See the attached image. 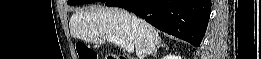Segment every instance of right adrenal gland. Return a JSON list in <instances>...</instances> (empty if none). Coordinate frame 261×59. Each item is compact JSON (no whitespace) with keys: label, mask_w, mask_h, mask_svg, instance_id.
I'll list each match as a JSON object with an SVG mask.
<instances>
[{"label":"right adrenal gland","mask_w":261,"mask_h":59,"mask_svg":"<svg viewBox=\"0 0 261 59\" xmlns=\"http://www.w3.org/2000/svg\"><path fill=\"white\" fill-rule=\"evenodd\" d=\"M161 47H163V45H161V44H158V46H157V49L158 48H161ZM157 49L154 51V53H153V55L155 56L156 55V53H157Z\"/></svg>","instance_id":"right-adrenal-gland-1"}]
</instances>
